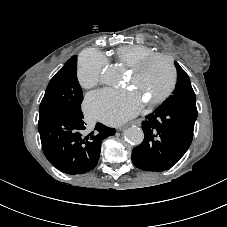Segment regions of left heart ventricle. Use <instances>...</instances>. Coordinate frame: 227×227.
<instances>
[{
	"label": "left heart ventricle",
	"instance_id": "left-heart-ventricle-1",
	"mask_svg": "<svg viewBox=\"0 0 227 227\" xmlns=\"http://www.w3.org/2000/svg\"><path fill=\"white\" fill-rule=\"evenodd\" d=\"M171 71L164 59H156L140 73L130 72L126 85L133 86L136 93L144 100L150 101L159 97L169 86Z\"/></svg>",
	"mask_w": 227,
	"mask_h": 227
}]
</instances>
